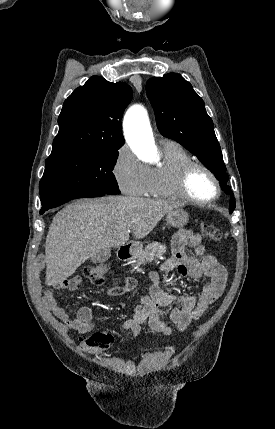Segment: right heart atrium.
I'll return each mask as SVG.
<instances>
[{"label": "right heart atrium", "mask_w": 275, "mask_h": 429, "mask_svg": "<svg viewBox=\"0 0 275 429\" xmlns=\"http://www.w3.org/2000/svg\"><path fill=\"white\" fill-rule=\"evenodd\" d=\"M112 171L123 193L130 196L146 194L150 183V168L127 145L117 150Z\"/></svg>", "instance_id": "d8ad5b80"}]
</instances>
